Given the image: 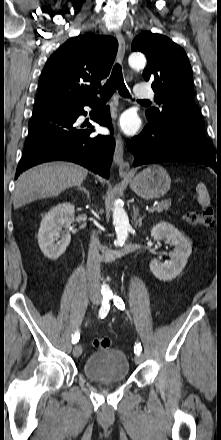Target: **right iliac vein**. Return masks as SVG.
Wrapping results in <instances>:
<instances>
[{"instance_id":"obj_1","label":"right iliac vein","mask_w":221,"mask_h":440,"mask_svg":"<svg viewBox=\"0 0 221 440\" xmlns=\"http://www.w3.org/2000/svg\"><path fill=\"white\" fill-rule=\"evenodd\" d=\"M94 303L95 304H99V302H97V301H95ZM81 354H82V347H81V345H76L73 348V355H74V357H79Z\"/></svg>"}]
</instances>
